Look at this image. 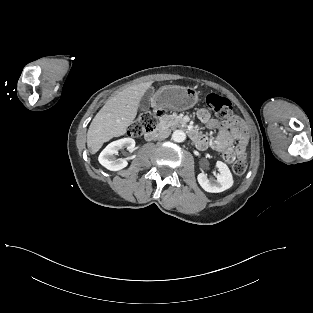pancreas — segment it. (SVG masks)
Returning <instances> with one entry per match:
<instances>
[{
  "label": "pancreas",
  "instance_id": "obj_1",
  "mask_svg": "<svg viewBox=\"0 0 313 313\" xmlns=\"http://www.w3.org/2000/svg\"><path fill=\"white\" fill-rule=\"evenodd\" d=\"M160 124L165 127L184 126L182 118L176 114L165 115L160 119Z\"/></svg>",
  "mask_w": 313,
  "mask_h": 313
}]
</instances>
